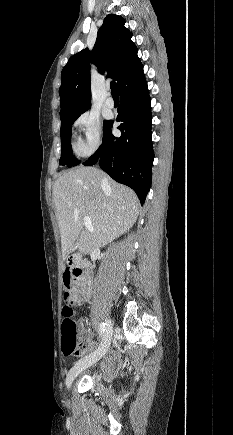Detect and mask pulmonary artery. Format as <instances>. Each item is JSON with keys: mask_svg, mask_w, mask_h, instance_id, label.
I'll return each instance as SVG.
<instances>
[{"mask_svg": "<svg viewBox=\"0 0 233 435\" xmlns=\"http://www.w3.org/2000/svg\"><path fill=\"white\" fill-rule=\"evenodd\" d=\"M105 105L109 108H113L115 106V101L111 96H108L105 100Z\"/></svg>", "mask_w": 233, "mask_h": 435, "instance_id": "e3ab8cb5", "label": "pulmonary artery"}]
</instances>
